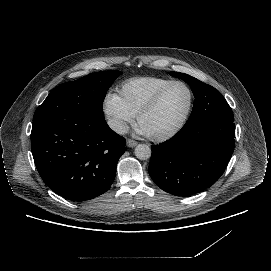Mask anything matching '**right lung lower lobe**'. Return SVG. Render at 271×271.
<instances>
[{
	"instance_id": "98d812e1",
	"label": "right lung lower lobe",
	"mask_w": 271,
	"mask_h": 271,
	"mask_svg": "<svg viewBox=\"0 0 271 271\" xmlns=\"http://www.w3.org/2000/svg\"><path fill=\"white\" fill-rule=\"evenodd\" d=\"M125 139L96 115L54 113L33 121L31 149L44 183L58 195L84 201L114 181Z\"/></svg>"
}]
</instances>
